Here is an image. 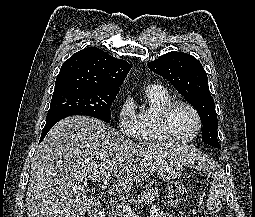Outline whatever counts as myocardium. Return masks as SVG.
<instances>
[{"mask_svg":"<svg viewBox=\"0 0 255 217\" xmlns=\"http://www.w3.org/2000/svg\"><path fill=\"white\" fill-rule=\"evenodd\" d=\"M180 105L189 108L194 113L197 119L196 131L191 136H188V137H179L175 135L170 128L171 112L173 111L175 107ZM158 125H159V130L161 134L165 137V139L174 141V142L185 143V142H190L198 137L203 127V120L198 109L190 102L185 100H172L160 110L158 115Z\"/></svg>","mask_w":255,"mask_h":217,"instance_id":"1","label":"myocardium"}]
</instances>
